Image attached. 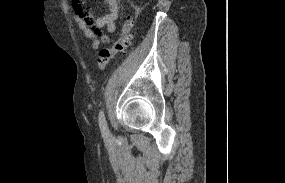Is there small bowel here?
Listing matches in <instances>:
<instances>
[{
  "instance_id": "1",
  "label": "small bowel",
  "mask_w": 285,
  "mask_h": 183,
  "mask_svg": "<svg viewBox=\"0 0 285 183\" xmlns=\"http://www.w3.org/2000/svg\"><path fill=\"white\" fill-rule=\"evenodd\" d=\"M108 13L104 16L94 17L86 8L83 7L82 0H74V7L79 12L74 11L73 21L77 27L83 32L85 38L92 41V47L99 50L102 45L110 42V33L115 31V22L119 17L120 7L118 0H104ZM105 29L106 32H102Z\"/></svg>"
}]
</instances>
